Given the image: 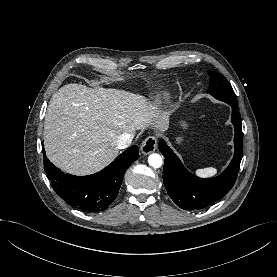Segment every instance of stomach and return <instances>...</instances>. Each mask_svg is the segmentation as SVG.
<instances>
[{"instance_id": "stomach-1", "label": "stomach", "mask_w": 277, "mask_h": 277, "mask_svg": "<svg viewBox=\"0 0 277 277\" xmlns=\"http://www.w3.org/2000/svg\"><path fill=\"white\" fill-rule=\"evenodd\" d=\"M181 125H182L183 127H186L185 122H181Z\"/></svg>"}]
</instances>
